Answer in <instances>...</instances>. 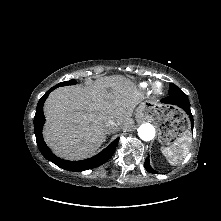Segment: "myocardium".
I'll return each mask as SVG.
<instances>
[{
    "label": "myocardium",
    "mask_w": 221,
    "mask_h": 221,
    "mask_svg": "<svg viewBox=\"0 0 221 221\" xmlns=\"http://www.w3.org/2000/svg\"><path fill=\"white\" fill-rule=\"evenodd\" d=\"M164 91V86L161 82H155L152 85V93L154 95H161Z\"/></svg>",
    "instance_id": "f54148a6"
}]
</instances>
